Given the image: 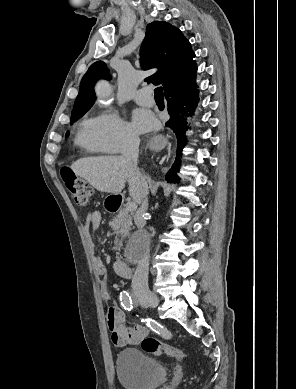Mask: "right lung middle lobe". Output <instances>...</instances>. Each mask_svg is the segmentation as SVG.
Masks as SVG:
<instances>
[{
  "instance_id": "dd1d6c3e",
  "label": "right lung middle lobe",
  "mask_w": 296,
  "mask_h": 389,
  "mask_svg": "<svg viewBox=\"0 0 296 389\" xmlns=\"http://www.w3.org/2000/svg\"><path fill=\"white\" fill-rule=\"evenodd\" d=\"M89 108L90 107H85V108H81V109H78V110L72 112L71 122L76 121L78 118H80L82 115H84ZM68 134H69V132L66 133V135H68Z\"/></svg>"
}]
</instances>
